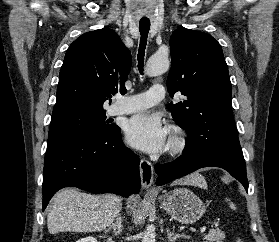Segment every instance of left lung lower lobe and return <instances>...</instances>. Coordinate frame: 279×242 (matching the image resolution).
I'll return each mask as SVG.
<instances>
[{
	"mask_svg": "<svg viewBox=\"0 0 279 242\" xmlns=\"http://www.w3.org/2000/svg\"><path fill=\"white\" fill-rule=\"evenodd\" d=\"M210 166L227 170L244 186L246 191H248L245 160L218 153L197 155L182 154L173 162L156 164L155 171L158 175L156 185H164L192 173L197 169Z\"/></svg>",
	"mask_w": 279,
	"mask_h": 242,
	"instance_id": "1",
	"label": "left lung lower lobe"
}]
</instances>
